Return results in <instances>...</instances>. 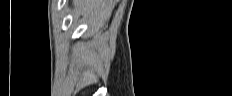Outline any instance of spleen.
Segmentation results:
<instances>
[{"label": "spleen", "mask_w": 232, "mask_h": 96, "mask_svg": "<svg viewBox=\"0 0 232 96\" xmlns=\"http://www.w3.org/2000/svg\"><path fill=\"white\" fill-rule=\"evenodd\" d=\"M73 5L75 12L86 18L99 17L109 8V4L103 0H74Z\"/></svg>", "instance_id": "spleen-1"}]
</instances>
